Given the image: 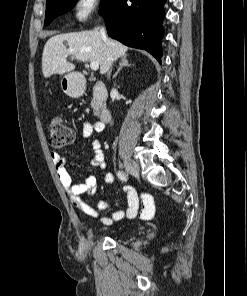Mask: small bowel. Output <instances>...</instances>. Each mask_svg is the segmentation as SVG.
I'll list each match as a JSON object with an SVG mask.
<instances>
[{"label": "small bowel", "instance_id": "small-bowel-1", "mask_svg": "<svg viewBox=\"0 0 247 296\" xmlns=\"http://www.w3.org/2000/svg\"><path fill=\"white\" fill-rule=\"evenodd\" d=\"M103 129L102 123L98 121L87 122L83 127V137L90 139L93 134L101 132ZM91 147L94 151L89 163L92 167L98 170L105 168L104 152L101 143L98 140L91 141ZM51 160L55 166L58 179L64 189L67 191L73 206L81 213L98 219L99 222L105 226H110L114 221L120 220L123 217L134 218L139 211V197L135 189L130 186L124 187L123 191L127 198V206L113 212L110 216H100V211L111 207L113 204L110 201H99L95 206L88 204L83 196H91L97 189V178L94 175H89L83 182H76L72 175L67 170L65 163L66 159L59 153L53 152ZM106 184H113L115 177L112 173H107L104 176ZM149 210V212H148ZM154 212V206L148 196L144 197L143 207L141 211L142 219H149Z\"/></svg>", "mask_w": 247, "mask_h": 296}]
</instances>
